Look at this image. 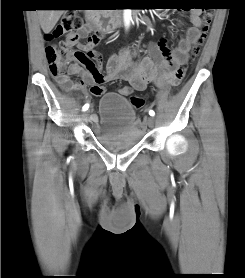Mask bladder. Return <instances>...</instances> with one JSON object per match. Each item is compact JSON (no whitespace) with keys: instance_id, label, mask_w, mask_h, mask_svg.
I'll use <instances>...</instances> for the list:
<instances>
[{"instance_id":"1","label":"bladder","mask_w":245,"mask_h":278,"mask_svg":"<svg viewBox=\"0 0 245 278\" xmlns=\"http://www.w3.org/2000/svg\"><path fill=\"white\" fill-rule=\"evenodd\" d=\"M97 140L111 150H127L139 145L143 130L138 126L135 107L124 96L105 93L100 99Z\"/></svg>"}]
</instances>
